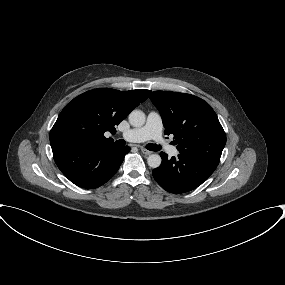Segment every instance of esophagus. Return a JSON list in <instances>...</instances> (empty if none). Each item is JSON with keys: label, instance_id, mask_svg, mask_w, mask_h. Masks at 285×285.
Instances as JSON below:
<instances>
[{"label": "esophagus", "instance_id": "1", "mask_svg": "<svg viewBox=\"0 0 285 285\" xmlns=\"http://www.w3.org/2000/svg\"><path fill=\"white\" fill-rule=\"evenodd\" d=\"M141 152H142L143 154H145V155H151V154H152L151 151H149V150H147V149H144V148H141Z\"/></svg>", "mask_w": 285, "mask_h": 285}]
</instances>
